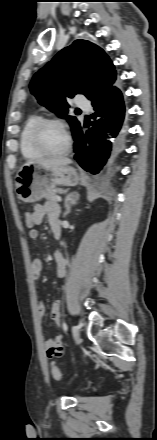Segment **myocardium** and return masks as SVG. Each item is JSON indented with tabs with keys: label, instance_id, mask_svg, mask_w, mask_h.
I'll return each mask as SVG.
<instances>
[{
	"label": "myocardium",
	"instance_id": "1",
	"mask_svg": "<svg viewBox=\"0 0 157 440\" xmlns=\"http://www.w3.org/2000/svg\"><path fill=\"white\" fill-rule=\"evenodd\" d=\"M47 125H57L60 128H62V130L65 133L66 136V146L58 152H52V151H48L47 149L44 148L41 140H40V133L42 131V129L47 126ZM30 141L31 144L33 145V147L40 152L43 155H47V156H54V157H58V156H63L66 155L70 152L71 148H72V137L66 127V125L59 119L56 118H41L32 128L31 133H30Z\"/></svg>",
	"mask_w": 157,
	"mask_h": 440
}]
</instances>
